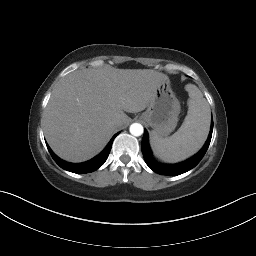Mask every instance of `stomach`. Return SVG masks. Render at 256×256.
I'll use <instances>...</instances> for the list:
<instances>
[{"label": "stomach", "instance_id": "1", "mask_svg": "<svg viewBox=\"0 0 256 256\" xmlns=\"http://www.w3.org/2000/svg\"><path fill=\"white\" fill-rule=\"evenodd\" d=\"M180 110V102L166 76L157 86L154 96L141 118L153 129L155 134L163 138L175 129Z\"/></svg>", "mask_w": 256, "mask_h": 256}]
</instances>
